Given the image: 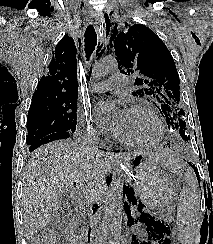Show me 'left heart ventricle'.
I'll list each match as a JSON object with an SVG mask.
<instances>
[{
	"mask_svg": "<svg viewBox=\"0 0 213 244\" xmlns=\"http://www.w3.org/2000/svg\"><path fill=\"white\" fill-rule=\"evenodd\" d=\"M117 132L126 140L147 142L158 136V126L148 112L129 110L124 124Z\"/></svg>",
	"mask_w": 213,
	"mask_h": 244,
	"instance_id": "obj_1",
	"label": "left heart ventricle"
}]
</instances>
